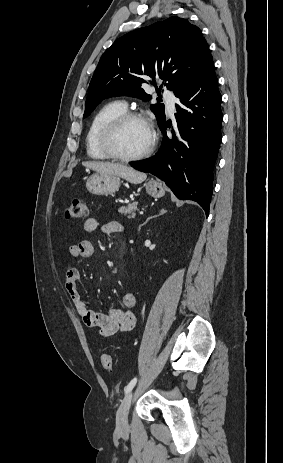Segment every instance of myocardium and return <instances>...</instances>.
Segmentation results:
<instances>
[{"label":"myocardium","instance_id":"1","mask_svg":"<svg viewBox=\"0 0 283 463\" xmlns=\"http://www.w3.org/2000/svg\"><path fill=\"white\" fill-rule=\"evenodd\" d=\"M130 120H139L145 123L150 131L151 139L146 149L142 152L133 156H124L119 154L114 149L113 139L119 128ZM157 138V131L154 127V124L146 115L137 111H125L120 115L114 117L105 125L100 135V145L104 153L108 156V158L120 162L129 163L139 161L150 156L155 149Z\"/></svg>","mask_w":283,"mask_h":463}]
</instances>
